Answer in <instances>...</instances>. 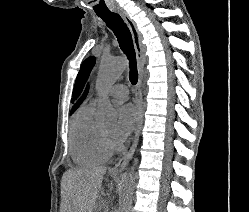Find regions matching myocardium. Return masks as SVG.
I'll use <instances>...</instances> for the list:
<instances>
[{"label":"myocardium","instance_id":"myocardium-1","mask_svg":"<svg viewBox=\"0 0 249 212\" xmlns=\"http://www.w3.org/2000/svg\"><path fill=\"white\" fill-rule=\"evenodd\" d=\"M100 140H101V143H102L104 149L107 150L108 149L107 136H105L103 131L100 132Z\"/></svg>","mask_w":249,"mask_h":212}]
</instances>
